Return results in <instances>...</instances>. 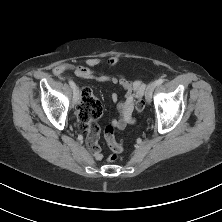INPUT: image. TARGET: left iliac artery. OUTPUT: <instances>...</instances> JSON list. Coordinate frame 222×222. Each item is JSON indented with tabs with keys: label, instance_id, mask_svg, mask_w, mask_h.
<instances>
[{
	"label": "left iliac artery",
	"instance_id": "44dca946",
	"mask_svg": "<svg viewBox=\"0 0 222 222\" xmlns=\"http://www.w3.org/2000/svg\"><path fill=\"white\" fill-rule=\"evenodd\" d=\"M163 82H164V79H163V78H159L158 80L155 81L156 86L161 85Z\"/></svg>",
	"mask_w": 222,
	"mask_h": 222
}]
</instances>
